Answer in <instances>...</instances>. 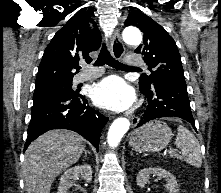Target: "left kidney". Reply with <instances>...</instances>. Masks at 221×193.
Returning a JSON list of instances; mask_svg holds the SVG:
<instances>
[{
  "label": "left kidney",
  "instance_id": "1",
  "mask_svg": "<svg viewBox=\"0 0 221 193\" xmlns=\"http://www.w3.org/2000/svg\"><path fill=\"white\" fill-rule=\"evenodd\" d=\"M151 174L157 175L160 178H164L166 180V188L169 190V193H179V188L176 178L167 170L159 167L144 168L140 170L136 178L137 185L141 188H144Z\"/></svg>",
  "mask_w": 221,
  "mask_h": 193
}]
</instances>
